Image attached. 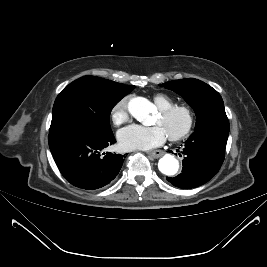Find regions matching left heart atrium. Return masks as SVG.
Returning a JSON list of instances; mask_svg holds the SVG:
<instances>
[{
	"label": "left heart atrium",
	"instance_id": "39dd6f15",
	"mask_svg": "<svg viewBox=\"0 0 267 267\" xmlns=\"http://www.w3.org/2000/svg\"><path fill=\"white\" fill-rule=\"evenodd\" d=\"M166 137L165 130L159 125L145 127L134 124L118 133V141L125 150H149L163 144Z\"/></svg>",
	"mask_w": 267,
	"mask_h": 267
}]
</instances>
